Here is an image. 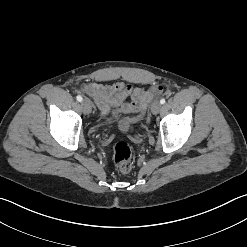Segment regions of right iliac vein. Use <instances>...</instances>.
<instances>
[{
    "mask_svg": "<svg viewBox=\"0 0 247 247\" xmlns=\"http://www.w3.org/2000/svg\"><path fill=\"white\" fill-rule=\"evenodd\" d=\"M81 106L85 114H89L91 112V104L88 100L84 99L81 103Z\"/></svg>",
    "mask_w": 247,
    "mask_h": 247,
    "instance_id": "1",
    "label": "right iliac vein"
}]
</instances>
